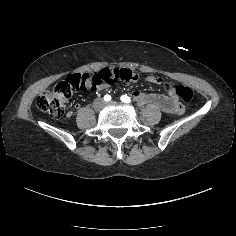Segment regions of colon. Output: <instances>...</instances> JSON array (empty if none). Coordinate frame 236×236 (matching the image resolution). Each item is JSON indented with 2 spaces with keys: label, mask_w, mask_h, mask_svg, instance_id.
<instances>
[{
  "label": "colon",
  "mask_w": 236,
  "mask_h": 236,
  "mask_svg": "<svg viewBox=\"0 0 236 236\" xmlns=\"http://www.w3.org/2000/svg\"><path fill=\"white\" fill-rule=\"evenodd\" d=\"M139 75L126 68H104L95 74H71L60 81L53 89L41 93L37 99L38 108L55 119H60L65 114V106L71 96L78 91H96L102 86L136 82ZM176 95L184 102L193 98L191 88L179 85Z\"/></svg>",
  "instance_id": "5ec220e1"
}]
</instances>
